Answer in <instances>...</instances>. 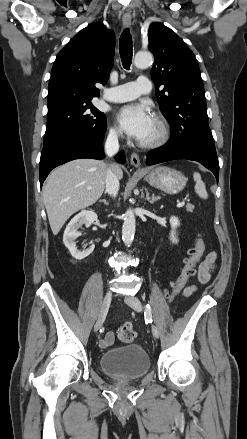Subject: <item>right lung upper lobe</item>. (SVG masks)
<instances>
[{"label": "right lung upper lobe", "instance_id": "right-lung-upper-lobe-1", "mask_svg": "<svg viewBox=\"0 0 247 439\" xmlns=\"http://www.w3.org/2000/svg\"><path fill=\"white\" fill-rule=\"evenodd\" d=\"M114 48V33L103 24H90L75 35L53 64L48 85V109L63 101L98 97L96 84L107 83Z\"/></svg>", "mask_w": 247, "mask_h": 439}]
</instances>
